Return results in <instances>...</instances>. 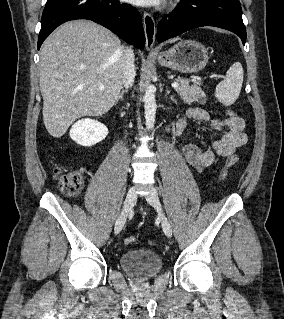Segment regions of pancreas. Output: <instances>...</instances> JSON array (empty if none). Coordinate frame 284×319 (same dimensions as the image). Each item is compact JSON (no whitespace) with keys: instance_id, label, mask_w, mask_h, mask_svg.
<instances>
[{"instance_id":"obj_1","label":"pancreas","mask_w":284,"mask_h":319,"mask_svg":"<svg viewBox=\"0 0 284 319\" xmlns=\"http://www.w3.org/2000/svg\"><path fill=\"white\" fill-rule=\"evenodd\" d=\"M177 82L180 85L176 88V91L185 103L191 104L193 102H197L202 105L206 103L207 98L200 87V82H194L193 85H190V81L183 77H178Z\"/></svg>"}]
</instances>
